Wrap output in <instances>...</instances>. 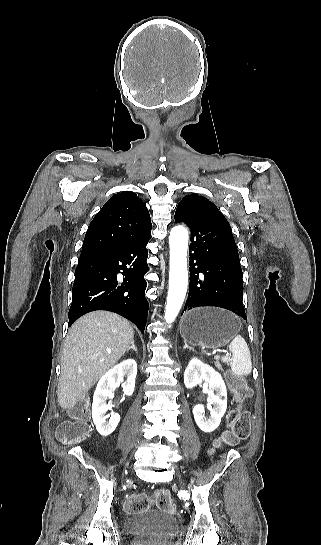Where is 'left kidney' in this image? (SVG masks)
<instances>
[{
  "mask_svg": "<svg viewBox=\"0 0 321 545\" xmlns=\"http://www.w3.org/2000/svg\"><path fill=\"white\" fill-rule=\"evenodd\" d=\"M202 381L208 383V405L210 411L209 419H205L204 405H196L193 409L194 419L201 431L212 433L221 423L223 415L227 409V389L226 385L217 371H214L209 365H205L199 359H191L185 373L184 385L186 389H193L200 385ZM216 391V395L214 393ZM213 405V407H211Z\"/></svg>",
  "mask_w": 321,
  "mask_h": 545,
  "instance_id": "1",
  "label": "left kidney"
}]
</instances>
